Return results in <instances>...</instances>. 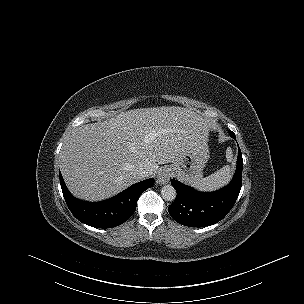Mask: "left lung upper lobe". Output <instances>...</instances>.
Here are the masks:
<instances>
[{
    "label": "left lung upper lobe",
    "mask_w": 304,
    "mask_h": 304,
    "mask_svg": "<svg viewBox=\"0 0 304 304\" xmlns=\"http://www.w3.org/2000/svg\"><path fill=\"white\" fill-rule=\"evenodd\" d=\"M229 132H230L232 138L235 137V134L232 131H229Z\"/></svg>",
    "instance_id": "5c2ea615"
}]
</instances>
